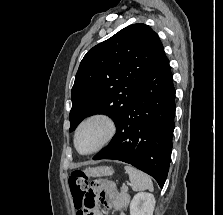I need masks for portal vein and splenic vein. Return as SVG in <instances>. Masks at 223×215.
<instances>
[{
  "mask_svg": "<svg viewBox=\"0 0 223 215\" xmlns=\"http://www.w3.org/2000/svg\"><path fill=\"white\" fill-rule=\"evenodd\" d=\"M125 182L128 184L130 181L127 179Z\"/></svg>",
  "mask_w": 223,
  "mask_h": 215,
  "instance_id": "1",
  "label": "portal vein and splenic vein"
}]
</instances>
